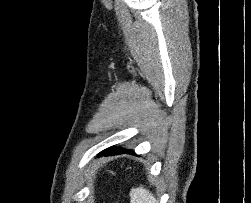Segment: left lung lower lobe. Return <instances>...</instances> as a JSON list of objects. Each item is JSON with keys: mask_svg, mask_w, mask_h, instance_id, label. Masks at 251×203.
Segmentation results:
<instances>
[{"mask_svg": "<svg viewBox=\"0 0 251 203\" xmlns=\"http://www.w3.org/2000/svg\"><path fill=\"white\" fill-rule=\"evenodd\" d=\"M124 152H132L130 150H123V149H118V148H109L104 150L102 153L104 155H112V154H120V153H124Z\"/></svg>", "mask_w": 251, "mask_h": 203, "instance_id": "0a47b994", "label": "left lung lower lobe"}]
</instances>
